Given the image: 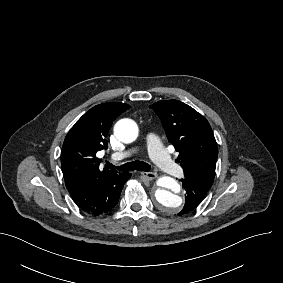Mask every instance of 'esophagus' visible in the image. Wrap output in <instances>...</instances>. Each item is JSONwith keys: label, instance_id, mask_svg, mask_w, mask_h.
Segmentation results:
<instances>
[{"label": "esophagus", "instance_id": "esophagus-1", "mask_svg": "<svg viewBox=\"0 0 283 283\" xmlns=\"http://www.w3.org/2000/svg\"><path fill=\"white\" fill-rule=\"evenodd\" d=\"M140 174L147 180H154L158 177L156 172H140Z\"/></svg>", "mask_w": 283, "mask_h": 283}]
</instances>
